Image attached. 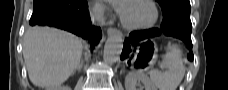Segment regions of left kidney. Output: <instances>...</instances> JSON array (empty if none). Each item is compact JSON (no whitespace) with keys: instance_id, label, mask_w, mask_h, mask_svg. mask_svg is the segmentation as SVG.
Returning a JSON list of instances; mask_svg holds the SVG:
<instances>
[{"instance_id":"left-kidney-1","label":"left kidney","mask_w":228,"mask_h":90,"mask_svg":"<svg viewBox=\"0 0 228 90\" xmlns=\"http://www.w3.org/2000/svg\"><path fill=\"white\" fill-rule=\"evenodd\" d=\"M137 81H141L145 90H157L149 78L140 72H130L125 78L126 90H136Z\"/></svg>"}]
</instances>
